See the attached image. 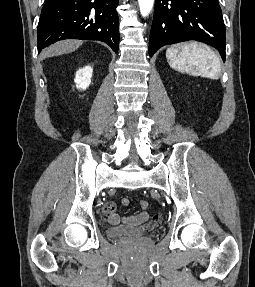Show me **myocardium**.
Listing matches in <instances>:
<instances>
[{
  "label": "myocardium",
  "instance_id": "myocardium-1",
  "mask_svg": "<svg viewBox=\"0 0 255 287\" xmlns=\"http://www.w3.org/2000/svg\"><path fill=\"white\" fill-rule=\"evenodd\" d=\"M159 48H170V47H159Z\"/></svg>",
  "mask_w": 255,
  "mask_h": 287
}]
</instances>
